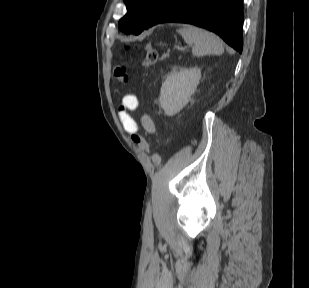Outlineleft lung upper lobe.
Wrapping results in <instances>:
<instances>
[{
	"mask_svg": "<svg viewBox=\"0 0 309 288\" xmlns=\"http://www.w3.org/2000/svg\"><path fill=\"white\" fill-rule=\"evenodd\" d=\"M165 0H124L127 14L118 27L125 34L140 32Z\"/></svg>",
	"mask_w": 309,
	"mask_h": 288,
	"instance_id": "obj_1",
	"label": "left lung upper lobe"
}]
</instances>
